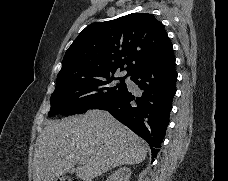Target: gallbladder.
Instances as JSON below:
<instances>
[{"label":"gallbladder","instance_id":"gallbladder-1","mask_svg":"<svg viewBox=\"0 0 228 181\" xmlns=\"http://www.w3.org/2000/svg\"><path fill=\"white\" fill-rule=\"evenodd\" d=\"M69 173H73V169H70Z\"/></svg>","mask_w":228,"mask_h":181}]
</instances>
